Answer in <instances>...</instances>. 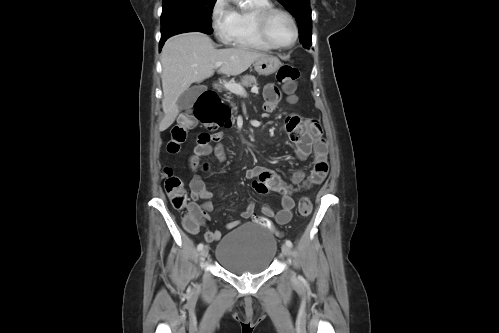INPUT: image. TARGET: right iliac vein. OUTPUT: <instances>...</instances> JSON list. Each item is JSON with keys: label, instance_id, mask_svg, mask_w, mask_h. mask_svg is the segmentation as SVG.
<instances>
[{"label": "right iliac vein", "instance_id": "obj_1", "mask_svg": "<svg viewBox=\"0 0 499 333\" xmlns=\"http://www.w3.org/2000/svg\"><path fill=\"white\" fill-rule=\"evenodd\" d=\"M209 254V247L206 245L203 247V249L200 252V255L202 258H206Z\"/></svg>", "mask_w": 499, "mask_h": 333}]
</instances>
